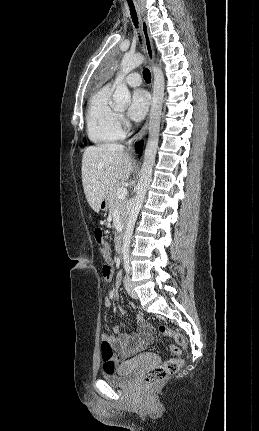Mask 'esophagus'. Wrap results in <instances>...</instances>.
<instances>
[{
  "label": "esophagus",
  "mask_w": 259,
  "mask_h": 431,
  "mask_svg": "<svg viewBox=\"0 0 259 431\" xmlns=\"http://www.w3.org/2000/svg\"><path fill=\"white\" fill-rule=\"evenodd\" d=\"M138 11H139V17L141 22L142 33L144 36V41L146 46V52H147L150 64L153 65L155 62V51H154L152 37L149 31V26L142 9L139 8ZM150 90L151 92H153V76H152V81L150 83ZM148 125H149V117H147L140 131L128 142V151L130 153H134L133 144H135L140 139L144 138V136L146 135L148 130Z\"/></svg>",
  "instance_id": "esophagus-1"
}]
</instances>
